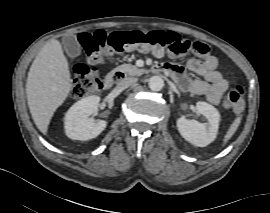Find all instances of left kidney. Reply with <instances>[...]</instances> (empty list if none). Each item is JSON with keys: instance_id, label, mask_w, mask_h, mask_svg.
Segmentation results:
<instances>
[{"instance_id": "obj_1", "label": "left kidney", "mask_w": 270, "mask_h": 213, "mask_svg": "<svg viewBox=\"0 0 270 213\" xmlns=\"http://www.w3.org/2000/svg\"><path fill=\"white\" fill-rule=\"evenodd\" d=\"M196 108L206 119V123L181 117L177 120L180 135L197 147H205L213 142L218 133L220 114L218 110L206 102H197Z\"/></svg>"}]
</instances>
